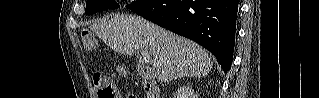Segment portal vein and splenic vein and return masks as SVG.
<instances>
[{
    "label": "portal vein and splenic vein",
    "mask_w": 319,
    "mask_h": 98,
    "mask_svg": "<svg viewBox=\"0 0 319 98\" xmlns=\"http://www.w3.org/2000/svg\"><path fill=\"white\" fill-rule=\"evenodd\" d=\"M141 54L143 55L144 59H147L150 61V53L147 50H141ZM154 61L151 60L150 64L154 65Z\"/></svg>",
    "instance_id": "1"
}]
</instances>
